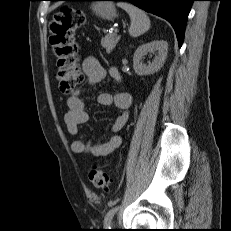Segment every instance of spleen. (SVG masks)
<instances>
[{
  "mask_svg": "<svg viewBox=\"0 0 231 231\" xmlns=\"http://www.w3.org/2000/svg\"><path fill=\"white\" fill-rule=\"evenodd\" d=\"M117 5L124 9L130 16L131 25L129 27V34L132 37H138L149 30L150 19L144 11L127 2H119Z\"/></svg>",
  "mask_w": 231,
  "mask_h": 231,
  "instance_id": "3e777b00",
  "label": "spleen"
}]
</instances>
